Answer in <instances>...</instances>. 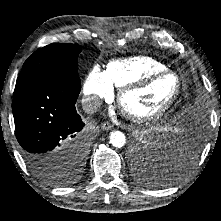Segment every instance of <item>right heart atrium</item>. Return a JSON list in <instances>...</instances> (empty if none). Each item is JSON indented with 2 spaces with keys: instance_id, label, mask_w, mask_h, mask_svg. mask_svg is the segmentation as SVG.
Instances as JSON below:
<instances>
[{
  "instance_id": "1",
  "label": "right heart atrium",
  "mask_w": 221,
  "mask_h": 221,
  "mask_svg": "<svg viewBox=\"0 0 221 221\" xmlns=\"http://www.w3.org/2000/svg\"><path fill=\"white\" fill-rule=\"evenodd\" d=\"M83 93L92 105L97 106L102 99L111 97L113 87L105 73L94 67L84 82Z\"/></svg>"
}]
</instances>
